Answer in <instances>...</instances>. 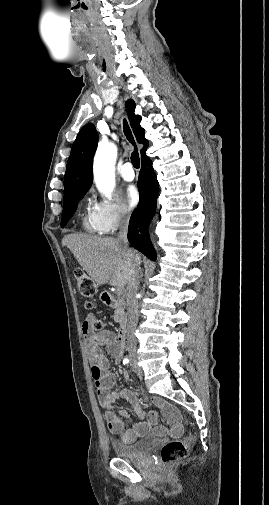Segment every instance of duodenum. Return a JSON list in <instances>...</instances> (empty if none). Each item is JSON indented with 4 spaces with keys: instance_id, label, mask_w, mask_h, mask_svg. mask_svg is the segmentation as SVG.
Returning a JSON list of instances; mask_svg holds the SVG:
<instances>
[{
    "instance_id": "duodenum-1",
    "label": "duodenum",
    "mask_w": 269,
    "mask_h": 505,
    "mask_svg": "<svg viewBox=\"0 0 269 505\" xmlns=\"http://www.w3.org/2000/svg\"><path fill=\"white\" fill-rule=\"evenodd\" d=\"M101 300L106 306L110 308H118L122 305V301L109 292H103L101 295ZM126 337L127 323L123 320L117 332V340L121 346L125 345Z\"/></svg>"
}]
</instances>
